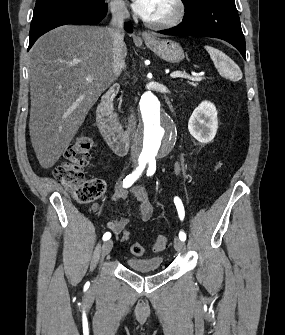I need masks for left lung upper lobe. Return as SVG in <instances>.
<instances>
[{
	"instance_id": "obj_1",
	"label": "left lung upper lobe",
	"mask_w": 285,
	"mask_h": 335,
	"mask_svg": "<svg viewBox=\"0 0 285 335\" xmlns=\"http://www.w3.org/2000/svg\"><path fill=\"white\" fill-rule=\"evenodd\" d=\"M182 1L184 2L185 8H189L196 5L201 0H182Z\"/></svg>"
}]
</instances>
